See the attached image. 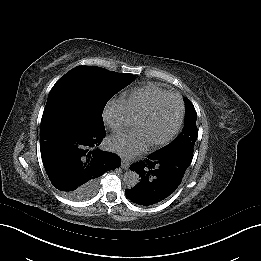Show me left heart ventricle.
Instances as JSON below:
<instances>
[{"label":"left heart ventricle","instance_id":"b2bd125f","mask_svg":"<svg viewBox=\"0 0 261 261\" xmlns=\"http://www.w3.org/2000/svg\"><path fill=\"white\" fill-rule=\"evenodd\" d=\"M178 117V107L170 104L164 110L144 120L137 134L145 141H155L165 137L174 127Z\"/></svg>","mask_w":261,"mask_h":261}]
</instances>
